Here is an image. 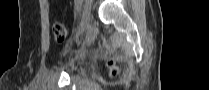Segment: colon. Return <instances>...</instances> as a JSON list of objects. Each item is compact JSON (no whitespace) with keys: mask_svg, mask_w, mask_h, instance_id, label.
<instances>
[{"mask_svg":"<svg viewBox=\"0 0 209 90\" xmlns=\"http://www.w3.org/2000/svg\"><path fill=\"white\" fill-rule=\"evenodd\" d=\"M68 33H69L68 29L63 23H61V22L54 23L53 34H54L55 40L57 42H64L68 37ZM110 67H111L112 73L116 74L117 68H116L115 63L113 61L110 62Z\"/></svg>","mask_w":209,"mask_h":90,"instance_id":"5ec220e1","label":"colon"}]
</instances>
